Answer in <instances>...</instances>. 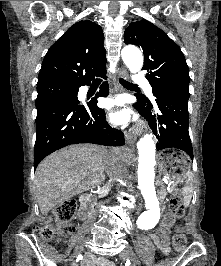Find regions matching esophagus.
<instances>
[{
    "mask_svg": "<svg viewBox=\"0 0 221 266\" xmlns=\"http://www.w3.org/2000/svg\"><path fill=\"white\" fill-rule=\"evenodd\" d=\"M118 75H119V78H122V79H127V76H128L127 71L125 69H121ZM125 139L129 145H133L136 141V137L127 132H125Z\"/></svg>",
    "mask_w": 221,
    "mask_h": 266,
    "instance_id": "esophagus-1",
    "label": "esophagus"
}]
</instances>
